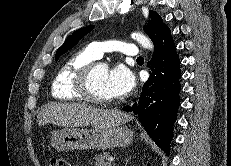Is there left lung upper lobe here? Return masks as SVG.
<instances>
[{"label": "left lung upper lobe", "instance_id": "left-lung-upper-lobe-1", "mask_svg": "<svg viewBox=\"0 0 231 166\" xmlns=\"http://www.w3.org/2000/svg\"><path fill=\"white\" fill-rule=\"evenodd\" d=\"M93 27L94 26H87L78 29L72 35H70L65 40L64 44L56 51V61L62 54L66 53L68 50L73 48L83 36L88 34L93 29ZM167 28L168 26L165 23H163L162 18L159 16V14L155 11L150 10L149 21L147 25L144 26V31L146 34H148L153 43Z\"/></svg>", "mask_w": 231, "mask_h": 166}]
</instances>
